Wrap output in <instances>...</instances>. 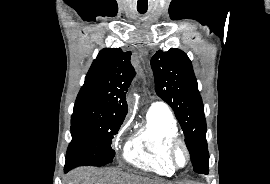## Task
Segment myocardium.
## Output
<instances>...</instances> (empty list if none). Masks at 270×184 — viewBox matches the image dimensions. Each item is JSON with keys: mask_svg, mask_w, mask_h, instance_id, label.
<instances>
[{"mask_svg": "<svg viewBox=\"0 0 270 184\" xmlns=\"http://www.w3.org/2000/svg\"><path fill=\"white\" fill-rule=\"evenodd\" d=\"M178 149H182L186 155V162L184 165H179L176 161V153ZM168 160L175 170L186 168L191 161V153L186 142L179 136L174 137L168 147Z\"/></svg>", "mask_w": 270, "mask_h": 184, "instance_id": "myocardium-1", "label": "myocardium"}]
</instances>
